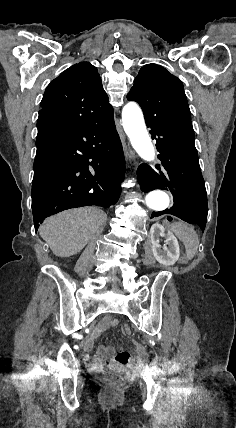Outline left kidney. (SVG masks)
<instances>
[{
	"label": "left kidney",
	"mask_w": 236,
	"mask_h": 428,
	"mask_svg": "<svg viewBox=\"0 0 236 428\" xmlns=\"http://www.w3.org/2000/svg\"><path fill=\"white\" fill-rule=\"evenodd\" d=\"M150 238L155 260L163 266H173L177 262L180 252L179 244L172 232L165 230L161 224H153ZM159 238H165L164 246H160Z\"/></svg>",
	"instance_id": "5707ae66"
}]
</instances>
